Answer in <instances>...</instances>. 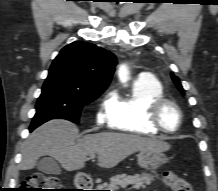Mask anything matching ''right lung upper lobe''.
<instances>
[{"instance_id":"cb5924a9","label":"right lung upper lobe","mask_w":218,"mask_h":191,"mask_svg":"<svg viewBox=\"0 0 218 191\" xmlns=\"http://www.w3.org/2000/svg\"><path fill=\"white\" fill-rule=\"evenodd\" d=\"M116 64V57L108 50L76 41L60 51L50 71L63 75L81 88L104 91L111 81Z\"/></svg>"}]
</instances>
